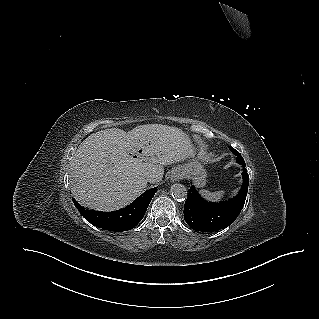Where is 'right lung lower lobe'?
I'll return each instance as SVG.
<instances>
[{
	"label": "right lung lower lobe",
	"mask_w": 319,
	"mask_h": 319,
	"mask_svg": "<svg viewBox=\"0 0 319 319\" xmlns=\"http://www.w3.org/2000/svg\"><path fill=\"white\" fill-rule=\"evenodd\" d=\"M156 191L157 187L146 190L130 205L112 212L88 210L80 206L75 199L73 202L80 214L91 224L104 230L121 232L134 228L142 220Z\"/></svg>",
	"instance_id": "obj_1"
}]
</instances>
